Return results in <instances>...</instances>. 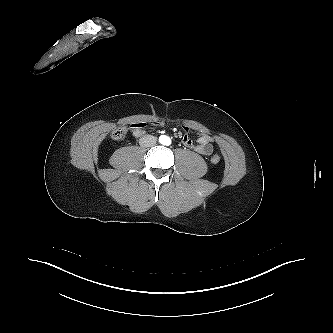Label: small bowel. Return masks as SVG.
<instances>
[{
	"mask_svg": "<svg viewBox=\"0 0 333 333\" xmlns=\"http://www.w3.org/2000/svg\"><path fill=\"white\" fill-rule=\"evenodd\" d=\"M156 126H164L165 123L161 121L155 122ZM146 124L144 122H137L131 125V130L134 136L140 137L144 134ZM184 129L188 130L186 127ZM182 143L187 148L193 149L195 152L201 155H210L213 151V146L211 143V138L206 134H200L197 143H194L192 139L184 135L182 138Z\"/></svg>",
	"mask_w": 333,
	"mask_h": 333,
	"instance_id": "c3829d8e",
	"label": "small bowel"
}]
</instances>
